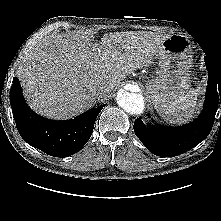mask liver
Wrapping results in <instances>:
<instances>
[{"label": "liver", "instance_id": "obj_1", "mask_svg": "<svg viewBox=\"0 0 221 221\" xmlns=\"http://www.w3.org/2000/svg\"><path fill=\"white\" fill-rule=\"evenodd\" d=\"M167 36L128 31L104 34L72 32L43 38L24 56L18 77L30 107L40 115L64 120L105 99L128 74L153 63ZM105 85L108 92L94 95Z\"/></svg>", "mask_w": 221, "mask_h": 221}]
</instances>
